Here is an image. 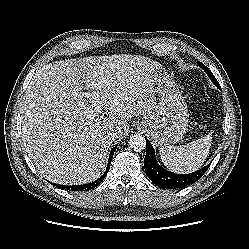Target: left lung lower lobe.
I'll return each instance as SVG.
<instances>
[{
    "label": "left lung lower lobe",
    "instance_id": "obj_1",
    "mask_svg": "<svg viewBox=\"0 0 249 249\" xmlns=\"http://www.w3.org/2000/svg\"><path fill=\"white\" fill-rule=\"evenodd\" d=\"M209 166L210 164L190 174H175L169 172L157 163L154 149L146 139L145 171L150 180L160 188L179 189L189 186L199 180Z\"/></svg>",
    "mask_w": 249,
    "mask_h": 249
}]
</instances>
